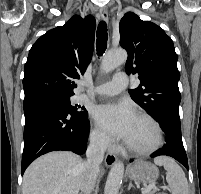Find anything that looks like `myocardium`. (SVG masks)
I'll return each mask as SVG.
<instances>
[{
    "label": "myocardium",
    "mask_w": 201,
    "mask_h": 194,
    "mask_svg": "<svg viewBox=\"0 0 201 194\" xmlns=\"http://www.w3.org/2000/svg\"><path fill=\"white\" fill-rule=\"evenodd\" d=\"M136 117L148 121L153 126L156 132V141L151 147L145 148V149L134 147L128 144L127 142H125V147L129 152L136 155H142V156L150 155L162 147L164 143L163 129L160 123L154 117H152L151 115L147 113L140 112L136 115Z\"/></svg>",
    "instance_id": "1"
}]
</instances>
